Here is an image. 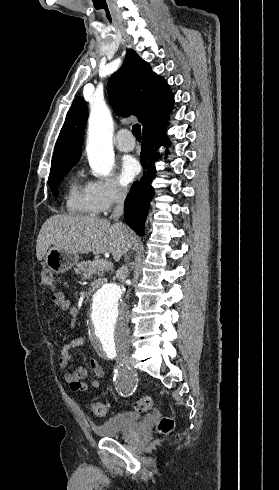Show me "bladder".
<instances>
[{
    "mask_svg": "<svg viewBox=\"0 0 279 490\" xmlns=\"http://www.w3.org/2000/svg\"><path fill=\"white\" fill-rule=\"evenodd\" d=\"M142 416L132 410H126L118 415L97 424L93 430L98 437H112L124 431H134L139 427Z\"/></svg>",
    "mask_w": 279,
    "mask_h": 490,
    "instance_id": "31cf9c89",
    "label": "bladder"
}]
</instances>
